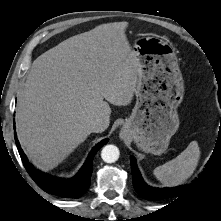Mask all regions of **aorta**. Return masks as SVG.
I'll use <instances>...</instances> for the list:
<instances>
[{
    "mask_svg": "<svg viewBox=\"0 0 221 221\" xmlns=\"http://www.w3.org/2000/svg\"><path fill=\"white\" fill-rule=\"evenodd\" d=\"M101 157L106 163H114L119 158V149L114 145H106L101 151Z\"/></svg>",
    "mask_w": 221,
    "mask_h": 221,
    "instance_id": "762f6f07",
    "label": "aorta"
}]
</instances>
